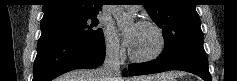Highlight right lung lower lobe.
I'll list each match as a JSON object with an SVG mask.
<instances>
[{
	"label": "right lung lower lobe",
	"instance_id": "1",
	"mask_svg": "<svg viewBox=\"0 0 237 81\" xmlns=\"http://www.w3.org/2000/svg\"><path fill=\"white\" fill-rule=\"evenodd\" d=\"M105 58V42L58 35H41L34 62L33 81H51L80 68H96Z\"/></svg>",
	"mask_w": 237,
	"mask_h": 81
}]
</instances>
